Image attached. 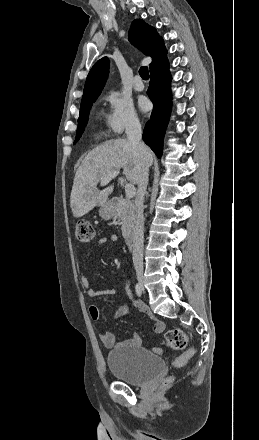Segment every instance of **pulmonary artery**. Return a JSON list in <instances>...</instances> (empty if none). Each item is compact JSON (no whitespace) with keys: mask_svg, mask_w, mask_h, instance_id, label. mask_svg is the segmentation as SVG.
Listing matches in <instances>:
<instances>
[{"mask_svg":"<svg viewBox=\"0 0 259 440\" xmlns=\"http://www.w3.org/2000/svg\"><path fill=\"white\" fill-rule=\"evenodd\" d=\"M133 86L136 91H142L144 89V84H143L140 76H138V75L135 76Z\"/></svg>","mask_w":259,"mask_h":440,"instance_id":"e3ab8cb5","label":"pulmonary artery"}]
</instances>
